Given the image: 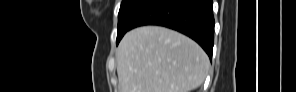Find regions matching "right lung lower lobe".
Segmentation results:
<instances>
[{"label":"right lung lower lobe","instance_id":"right-lung-lower-lobe-1","mask_svg":"<svg viewBox=\"0 0 296 92\" xmlns=\"http://www.w3.org/2000/svg\"><path fill=\"white\" fill-rule=\"evenodd\" d=\"M142 25H159L177 30L195 40L212 58V0H154L135 19L132 28Z\"/></svg>","mask_w":296,"mask_h":92}]
</instances>
